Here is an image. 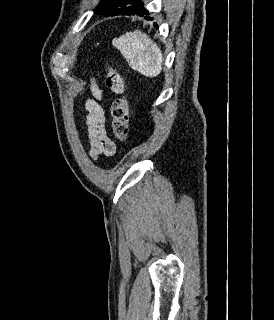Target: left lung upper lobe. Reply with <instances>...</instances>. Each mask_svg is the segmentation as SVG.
Masks as SVG:
<instances>
[{
    "label": "left lung upper lobe",
    "mask_w": 274,
    "mask_h": 320,
    "mask_svg": "<svg viewBox=\"0 0 274 320\" xmlns=\"http://www.w3.org/2000/svg\"><path fill=\"white\" fill-rule=\"evenodd\" d=\"M137 0H102L94 10L97 14H110L111 12H121L132 6Z\"/></svg>",
    "instance_id": "obj_1"
}]
</instances>
